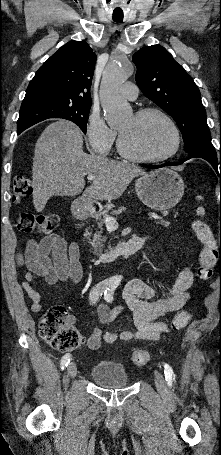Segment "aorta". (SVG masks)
Returning a JSON list of instances; mask_svg holds the SVG:
<instances>
[{"instance_id":"762f6f07","label":"aorta","mask_w":221,"mask_h":455,"mask_svg":"<svg viewBox=\"0 0 221 455\" xmlns=\"http://www.w3.org/2000/svg\"><path fill=\"white\" fill-rule=\"evenodd\" d=\"M133 65L126 60H115L106 67L100 86V100L106 121L115 127L132 113L126 100L118 94L119 87L133 74Z\"/></svg>"}]
</instances>
